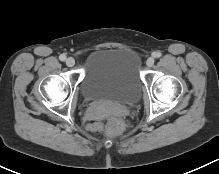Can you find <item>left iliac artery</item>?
I'll return each mask as SVG.
<instances>
[{
	"mask_svg": "<svg viewBox=\"0 0 219 174\" xmlns=\"http://www.w3.org/2000/svg\"><path fill=\"white\" fill-rule=\"evenodd\" d=\"M161 55H162V54H161V52H159V51L153 53V57H155V58H159V57H161Z\"/></svg>",
	"mask_w": 219,
	"mask_h": 174,
	"instance_id": "1",
	"label": "left iliac artery"
}]
</instances>
